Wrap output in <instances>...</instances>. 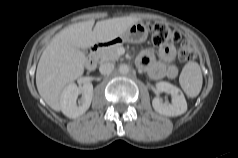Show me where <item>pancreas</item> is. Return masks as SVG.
<instances>
[{"instance_id":"obj_1","label":"pancreas","mask_w":238,"mask_h":158,"mask_svg":"<svg viewBox=\"0 0 238 158\" xmlns=\"http://www.w3.org/2000/svg\"><path fill=\"white\" fill-rule=\"evenodd\" d=\"M121 46L122 44H115L109 47H105L98 51L97 58H99L102 62L117 61L120 58V55L117 53V50Z\"/></svg>"}]
</instances>
